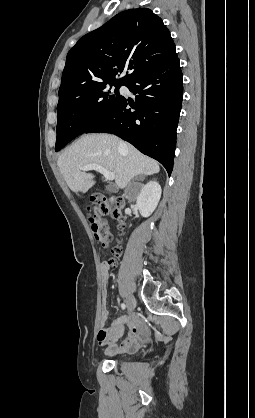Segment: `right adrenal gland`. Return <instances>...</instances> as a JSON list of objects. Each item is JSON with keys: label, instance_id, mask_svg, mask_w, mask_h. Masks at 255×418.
<instances>
[{"label": "right adrenal gland", "instance_id": "1", "mask_svg": "<svg viewBox=\"0 0 255 418\" xmlns=\"http://www.w3.org/2000/svg\"><path fill=\"white\" fill-rule=\"evenodd\" d=\"M144 179H145V177H142V178H141V180H144Z\"/></svg>", "mask_w": 255, "mask_h": 418}]
</instances>
